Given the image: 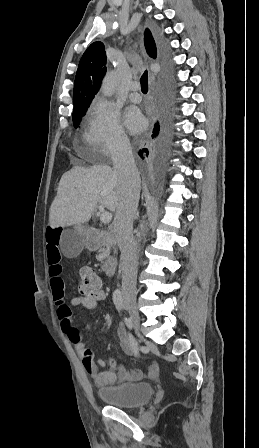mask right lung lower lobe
I'll return each mask as SVG.
<instances>
[{"instance_id": "obj_1", "label": "right lung lower lobe", "mask_w": 259, "mask_h": 448, "mask_svg": "<svg viewBox=\"0 0 259 448\" xmlns=\"http://www.w3.org/2000/svg\"><path fill=\"white\" fill-rule=\"evenodd\" d=\"M158 47H159L161 55H165L166 45H165L164 40H162L161 38L159 40ZM168 128H169V114L167 113L164 120L162 121L161 132H160L159 123L157 122L154 125L152 138H156L159 135V133H160V136H166L168 133ZM142 151L146 152V155H148V150L146 148L142 149ZM139 155L142 157V152H139Z\"/></svg>"}]
</instances>
